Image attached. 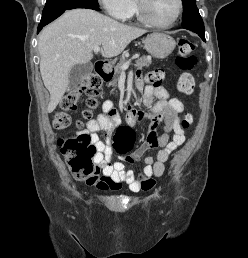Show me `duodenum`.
<instances>
[{"mask_svg":"<svg viewBox=\"0 0 248 258\" xmlns=\"http://www.w3.org/2000/svg\"><path fill=\"white\" fill-rule=\"evenodd\" d=\"M95 73L103 81H108L112 77V73H111V69H110L109 65L102 60H98L95 63Z\"/></svg>","mask_w":248,"mask_h":258,"instance_id":"obj_1","label":"duodenum"}]
</instances>
